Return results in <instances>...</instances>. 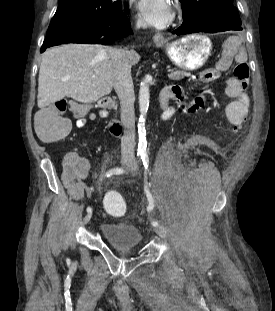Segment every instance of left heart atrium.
<instances>
[{
  "label": "left heart atrium",
  "mask_w": 275,
  "mask_h": 311,
  "mask_svg": "<svg viewBox=\"0 0 275 311\" xmlns=\"http://www.w3.org/2000/svg\"><path fill=\"white\" fill-rule=\"evenodd\" d=\"M136 7L143 20L151 26L163 28L173 18L170 0H137Z\"/></svg>",
  "instance_id": "obj_1"
}]
</instances>
